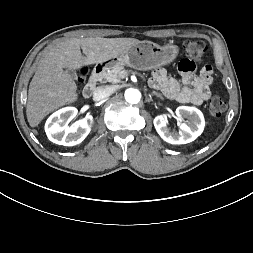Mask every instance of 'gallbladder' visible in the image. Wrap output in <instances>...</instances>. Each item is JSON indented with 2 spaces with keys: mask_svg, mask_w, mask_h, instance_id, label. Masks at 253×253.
I'll return each mask as SVG.
<instances>
[{
  "mask_svg": "<svg viewBox=\"0 0 253 253\" xmlns=\"http://www.w3.org/2000/svg\"><path fill=\"white\" fill-rule=\"evenodd\" d=\"M66 71H67V73H68L71 77L76 78V73H75L73 70H71V69H66Z\"/></svg>",
  "mask_w": 253,
  "mask_h": 253,
  "instance_id": "1",
  "label": "gallbladder"
}]
</instances>
